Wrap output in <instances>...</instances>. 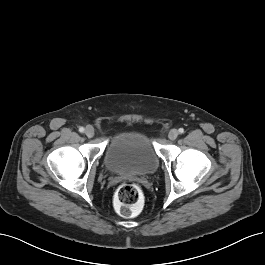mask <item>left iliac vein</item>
Segmentation results:
<instances>
[{
  "label": "left iliac vein",
  "instance_id": "1",
  "mask_svg": "<svg viewBox=\"0 0 265 265\" xmlns=\"http://www.w3.org/2000/svg\"><path fill=\"white\" fill-rule=\"evenodd\" d=\"M178 134L179 133H178V131L176 129H172L168 133V138L173 141V140H175L178 137Z\"/></svg>",
  "mask_w": 265,
  "mask_h": 265
}]
</instances>
